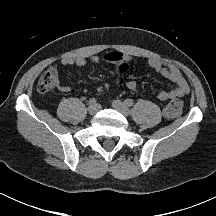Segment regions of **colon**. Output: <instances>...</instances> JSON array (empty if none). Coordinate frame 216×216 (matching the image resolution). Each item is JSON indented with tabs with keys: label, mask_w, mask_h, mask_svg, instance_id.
Here are the masks:
<instances>
[{
	"label": "colon",
	"mask_w": 216,
	"mask_h": 216,
	"mask_svg": "<svg viewBox=\"0 0 216 216\" xmlns=\"http://www.w3.org/2000/svg\"><path fill=\"white\" fill-rule=\"evenodd\" d=\"M58 72L55 69H48L44 72L38 80L37 89L41 93H46L53 90L58 84ZM123 82V76L120 75L117 83L121 84ZM183 108V103L180 99L174 98L166 105L164 113L168 118L177 117Z\"/></svg>",
	"instance_id": "1"
}]
</instances>
